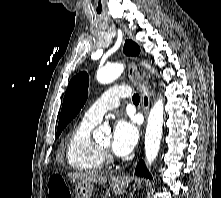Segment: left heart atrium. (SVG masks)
Returning <instances> with one entry per match:
<instances>
[{"mask_svg": "<svg viewBox=\"0 0 221 198\" xmlns=\"http://www.w3.org/2000/svg\"><path fill=\"white\" fill-rule=\"evenodd\" d=\"M138 136V127L134 120H118L113 128V152L118 156L128 155L136 146Z\"/></svg>", "mask_w": 221, "mask_h": 198, "instance_id": "left-heart-atrium-1", "label": "left heart atrium"}]
</instances>
